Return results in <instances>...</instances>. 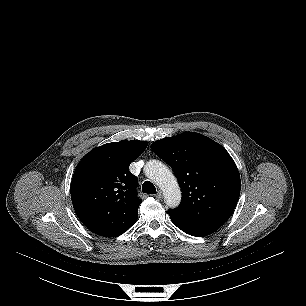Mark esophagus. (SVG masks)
I'll list each match as a JSON object with an SVG mask.
<instances>
[{
  "label": "esophagus",
  "instance_id": "34e87169",
  "mask_svg": "<svg viewBox=\"0 0 306 306\" xmlns=\"http://www.w3.org/2000/svg\"><path fill=\"white\" fill-rule=\"evenodd\" d=\"M155 197H156L158 200H161V199L163 198V193H162V191L159 190V191L157 192V194L155 195Z\"/></svg>",
  "mask_w": 306,
  "mask_h": 306
}]
</instances>
